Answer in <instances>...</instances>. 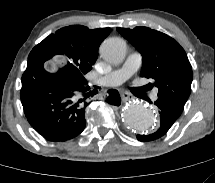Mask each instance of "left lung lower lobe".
<instances>
[{
    "label": "left lung lower lobe",
    "mask_w": 215,
    "mask_h": 183,
    "mask_svg": "<svg viewBox=\"0 0 215 183\" xmlns=\"http://www.w3.org/2000/svg\"><path fill=\"white\" fill-rule=\"evenodd\" d=\"M154 104L159 109L160 114V128L153 134L150 135H137V139L142 142L155 140L166 134L173 123L181 115L172 105L168 102L157 99Z\"/></svg>",
    "instance_id": "0a47b994"
}]
</instances>
